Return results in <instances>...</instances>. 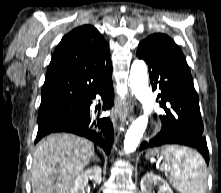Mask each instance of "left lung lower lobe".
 Masks as SVG:
<instances>
[{
	"label": "left lung lower lobe",
	"mask_w": 221,
	"mask_h": 193,
	"mask_svg": "<svg viewBox=\"0 0 221 193\" xmlns=\"http://www.w3.org/2000/svg\"><path fill=\"white\" fill-rule=\"evenodd\" d=\"M148 64L153 91L159 90L161 106L165 113L160 116L161 131L150 141H144L140 150L164 145H184L197 149L209 162V151L203 133L199 98L185 58L159 52L142 43L136 53ZM171 103L166 109L165 103Z\"/></svg>",
	"instance_id": "1"
}]
</instances>
